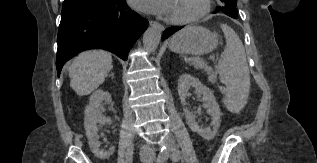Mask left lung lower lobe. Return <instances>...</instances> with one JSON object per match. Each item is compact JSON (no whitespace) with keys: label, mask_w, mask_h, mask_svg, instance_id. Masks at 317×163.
Instances as JSON below:
<instances>
[{"label":"left lung lower lobe","mask_w":317,"mask_h":163,"mask_svg":"<svg viewBox=\"0 0 317 163\" xmlns=\"http://www.w3.org/2000/svg\"><path fill=\"white\" fill-rule=\"evenodd\" d=\"M182 27H172L169 29H166L163 33V37L162 40H165L166 38H168L171 34L175 33L176 31H178L179 29H181Z\"/></svg>","instance_id":"0a47b994"}]
</instances>
